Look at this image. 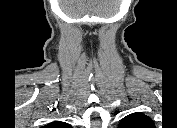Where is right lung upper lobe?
<instances>
[{
	"mask_svg": "<svg viewBox=\"0 0 177 128\" xmlns=\"http://www.w3.org/2000/svg\"><path fill=\"white\" fill-rule=\"evenodd\" d=\"M71 126L65 122L55 121L45 126V128H70Z\"/></svg>",
	"mask_w": 177,
	"mask_h": 128,
	"instance_id": "1",
	"label": "right lung upper lobe"
}]
</instances>
